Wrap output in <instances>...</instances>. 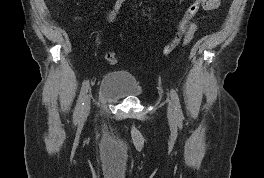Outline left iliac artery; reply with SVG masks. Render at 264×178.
Segmentation results:
<instances>
[{"instance_id":"obj_1","label":"left iliac artery","mask_w":264,"mask_h":178,"mask_svg":"<svg viewBox=\"0 0 264 178\" xmlns=\"http://www.w3.org/2000/svg\"><path fill=\"white\" fill-rule=\"evenodd\" d=\"M170 95H171V99H172V102H173V105L175 108L177 120L182 121L184 117H183V113H182L181 104L179 101L178 94L174 89H172L170 92Z\"/></svg>"}]
</instances>
